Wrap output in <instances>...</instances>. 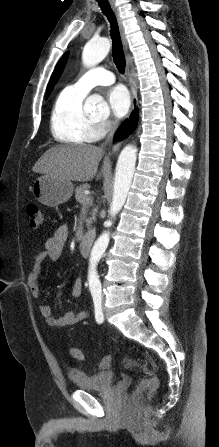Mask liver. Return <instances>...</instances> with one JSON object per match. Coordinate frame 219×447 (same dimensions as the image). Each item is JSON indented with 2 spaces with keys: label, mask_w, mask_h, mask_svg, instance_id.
Returning a JSON list of instances; mask_svg holds the SVG:
<instances>
[{
  "label": "liver",
  "mask_w": 219,
  "mask_h": 447,
  "mask_svg": "<svg viewBox=\"0 0 219 447\" xmlns=\"http://www.w3.org/2000/svg\"><path fill=\"white\" fill-rule=\"evenodd\" d=\"M103 155V148L94 145H59L47 150L32 170L68 181L85 182L95 176L100 179L104 170L97 175V169Z\"/></svg>",
  "instance_id": "liver-1"
}]
</instances>
